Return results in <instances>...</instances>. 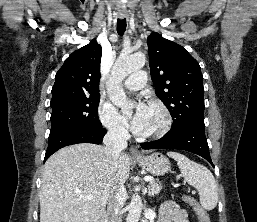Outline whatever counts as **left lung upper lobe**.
Masks as SVG:
<instances>
[{
    "label": "left lung upper lobe",
    "instance_id": "left-lung-upper-lobe-1",
    "mask_svg": "<svg viewBox=\"0 0 257 222\" xmlns=\"http://www.w3.org/2000/svg\"><path fill=\"white\" fill-rule=\"evenodd\" d=\"M150 74L157 97L168 108L176 129L204 125V88L199 63L175 42L152 33L147 39Z\"/></svg>",
    "mask_w": 257,
    "mask_h": 222
}]
</instances>
